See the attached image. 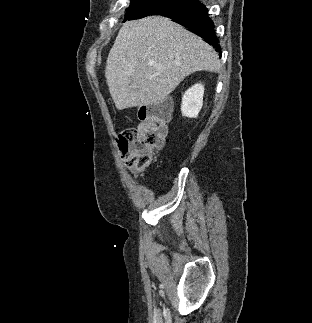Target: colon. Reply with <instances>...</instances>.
Listing matches in <instances>:
<instances>
[{
    "mask_svg": "<svg viewBox=\"0 0 312 323\" xmlns=\"http://www.w3.org/2000/svg\"><path fill=\"white\" fill-rule=\"evenodd\" d=\"M164 114L157 108L149 111L147 119L138 126H127L122 133L123 140L117 141V158H130L126 167L132 172H141L152 164L155 152L166 139Z\"/></svg>",
    "mask_w": 312,
    "mask_h": 323,
    "instance_id": "colon-1",
    "label": "colon"
}]
</instances>
